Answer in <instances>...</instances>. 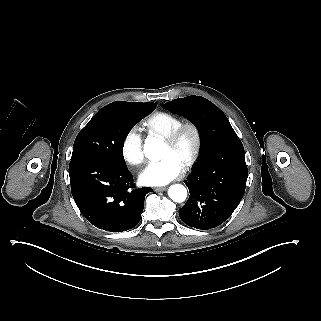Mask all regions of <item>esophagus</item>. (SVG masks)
<instances>
[{"label": "esophagus", "mask_w": 321, "mask_h": 321, "mask_svg": "<svg viewBox=\"0 0 321 321\" xmlns=\"http://www.w3.org/2000/svg\"><path fill=\"white\" fill-rule=\"evenodd\" d=\"M166 189L167 187H158V188H155L154 191L160 192V191H165Z\"/></svg>", "instance_id": "esophagus-1"}]
</instances>
